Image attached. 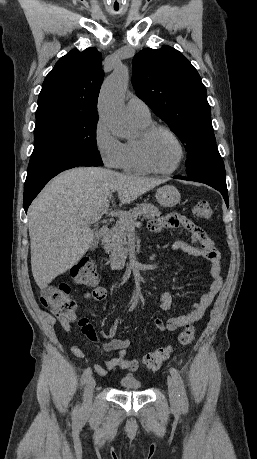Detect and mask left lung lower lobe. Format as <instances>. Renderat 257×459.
I'll return each instance as SVG.
<instances>
[{"instance_id": "1", "label": "left lung lower lobe", "mask_w": 257, "mask_h": 459, "mask_svg": "<svg viewBox=\"0 0 257 459\" xmlns=\"http://www.w3.org/2000/svg\"><path fill=\"white\" fill-rule=\"evenodd\" d=\"M174 178L175 179H182V180L201 182V183H205V184L215 188L216 190H218L222 194V196H223V198L225 200V203L228 206V190H227V186H226L225 177L218 176L217 174L213 173V174H210L208 176H202V177L175 176Z\"/></svg>"}]
</instances>
